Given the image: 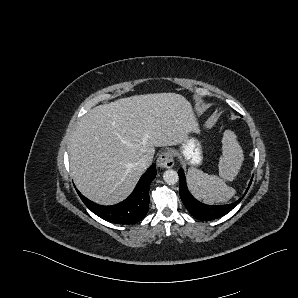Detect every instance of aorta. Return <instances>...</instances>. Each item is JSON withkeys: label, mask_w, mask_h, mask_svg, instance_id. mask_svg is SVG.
Wrapping results in <instances>:
<instances>
[{"label": "aorta", "mask_w": 298, "mask_h": 298, "mask_svg": "<svg viewBox=\"0 0 298 298\" xmlns=\"http://www.w3.org/2000/svg\"><path fill=\"white\" fill-rule=\"evenodd\" d=\"M162 178L166 184H175L179 181V174L174 169H167L163 172Z\"/></svg>", "instance_id": "obj_1"}]
</instances>
